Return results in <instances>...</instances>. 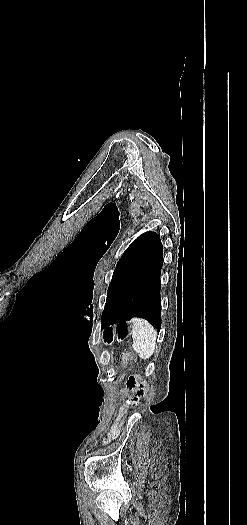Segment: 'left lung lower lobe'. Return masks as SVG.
<instances>
[{"label": "left lung lower lobe", "mask_w": 247, "mask_h": 525, "mask_svg": "<svg viewBox=\"0 0 247 525\" xmlns=\"http://www.w3.org/2000/svg\"><path fill=\"white\" fill-rule=\"evenodd\" d=\"M163 246L148 268L131 284L107 311L102 326L122 323L133 317L149 320L160 331L161 298L160 271L163 265Z\"/></svg>", "instance_id": "left-lung-lower-lobe-1"}]
</instances>
